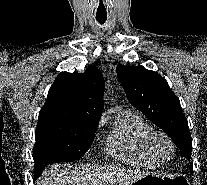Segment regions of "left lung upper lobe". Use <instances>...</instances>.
<instances>
[{"mask_svg": "<svg viewBox=\"0 0 207 185\" xmlns=\"http://www.w3.org/2000/svg\"><path fill=\"white\" fill-rule=\"evenodd\" d=\"M116 71L129 102L164 130L183 156L190 159L192 139L188 122L179 99L167 81L143 66L128 67L119 64ZM189 168L193 173L192 163Z\"/></svg>", "mask_w": 207, "mask_h": 185, "instance_id": "left-lung-upper-lobe-1", "label": "left lung upper lobe"}]
</instances>
